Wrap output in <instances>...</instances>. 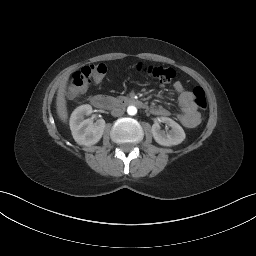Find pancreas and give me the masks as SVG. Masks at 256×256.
Masks as SVG:
<instances>
[{
    "label": "pancreas",
    "instance_id": "1",
    "mask_svg": "<svg viewBox=\"0 0 256 256\" xmlns=\"http://www.w3.org/2000/svg\"><path fill=\"white\" fill-rule=\"evenodd\" d=\"M111 99H112L113 101H115V102H120V101L124 100V99H125V97H123V96H119L118 98H114V97H112Z\"/></svg>",
    "mask_w": 256,
    "mask_h": 256
}]
</instances>
